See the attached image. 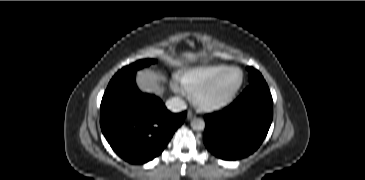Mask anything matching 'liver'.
<instances>
[{"mask_svg":"<svg viewBox=\"0 0 365 180\" xmlns=\"http://www.w3.org/2000/svg\"><path fill=\"white\" fill-rule=\"evenodd\" d=\"M203 53H192L185 52L179 55L177 58H168V61L172 64L179 62H193L197 60ZM161 76L148 70H141L137 73V84L143 92L155 93L157 95H162L164 92L163 87L160 86Z\"/></svg>","mask_w":365,"mask_h":180,"instance_id":"6515ba94","label":"liver"}]
</instances>
